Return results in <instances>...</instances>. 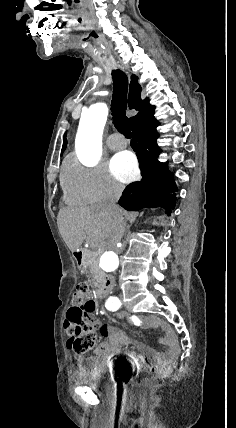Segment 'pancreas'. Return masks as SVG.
I'll list each match as a JSON object with an SVG mask.
<instances>
[{
  "label": "pancreas",
  "instance_id": "cf45deb5",
  "mask_svg": "<svg viewBox=\"0 0 236 428\" xmlns=\"http://www.w3.org/2000/svg\"><path fill=\"white\" fill-rule=\"evenodd\" d=\"M100 256L101 254H89L85 260V266L91 274L92 280H90V282L92 288H98L99 286L98 280L100 276V270L98 264Z\"/></svg>",
  "mask_w": 236,
  "mask_h": 428
}]
</instances>
